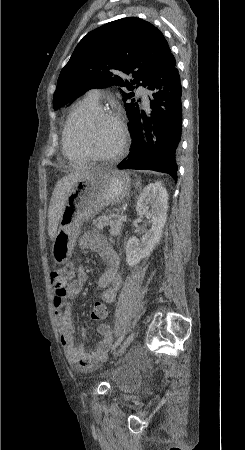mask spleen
Segmentation results:
<instances>
[{
	"mask_svg": "<svg viewBox=\"0 0 245 450\" xmlns=\"http://www.w3.org/2000/svg\"><path fill=\"white\" fill-rule=\"evenodd\" d=\"M140 182H137L136 185L138 186Z\"/></svg>",
	"mask_w": 245,
	"mask_h": 450,
	"instance_id": "1",
	"label": "spleen"
}]
</instances>
